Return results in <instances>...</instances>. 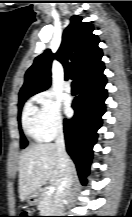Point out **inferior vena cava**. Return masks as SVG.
I'll return each instance as SVG.
<instances>
[{
  "label": "inferior vena cava",
  "instance_id": "1",
  "mask_svg": "<svg viewBox=\"0 0 132 217\" xmlns=\"http://www.w3.org/2000/svg\"><path fill=\"white\" fill-rule=\"evenodd\" d=\"M55 145L57 148L58 167L60 170L61 181L55 195L54 212L57 216H63L64 204L66 197L70 192L74 170L73 163L65 150V141L62 127H60L57 132Z\"/></svg>",
  "mask_w": 132,
  "mask_h": 217
}]
</instances>
